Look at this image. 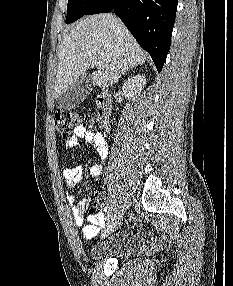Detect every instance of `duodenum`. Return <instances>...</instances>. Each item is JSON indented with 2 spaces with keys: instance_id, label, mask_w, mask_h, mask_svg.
Returning a JSON list of instances; mask_svg holds the SVG:
<instances>
[{
  "instance_id": "1",
  "label": "duodenum",
  "mask_w": 233,
  "mask_h": 286,
  "mask_svg": "<svg viewBox=\"0 0 233 286\" xmlns=\"http://www.w3.org/2000/svg\"><path fill=\"white\" fill-rule=\"evenodd\" d=\"M96 105H97V117L100 122V125L105 130H108L109 119L111 114V102L107 93L102 92L97 96Z\"/></svg>"
}]
</instances>
